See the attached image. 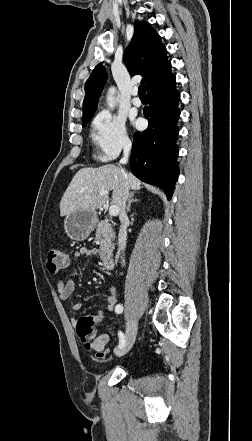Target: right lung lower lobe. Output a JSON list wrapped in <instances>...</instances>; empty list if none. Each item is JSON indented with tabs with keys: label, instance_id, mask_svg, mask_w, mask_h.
Returning a JSON list of instances; mask_svg holds the SVG:
<instances>
[{
	"label": "right lung lower lobe",
	"instance_id": "obj_1",
	"mask_svg": "<svg viewBox=\"0 0 252 441\" xmlns=\"http://www.w3.org/2000/svg\"><path fill=\"white\" fill-rule=\"evenodd\" d=\"M176 79L168 64L160 79L148 90L149 106L144 108L148 129L136 132L133 137L130 167L140 180L158 185L170 199L178 179L176 157V125L180 115V94L175 89Z\"/></svg>",
	"mask_w": 252,
	"mask_h": 441
}]
</instances>
